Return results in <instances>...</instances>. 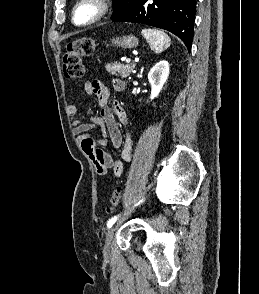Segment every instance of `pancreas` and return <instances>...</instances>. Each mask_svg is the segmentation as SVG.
Masks as SVG:
<instances>
[{
	"instance_id": "cf45deb5",
	"label": "pancreas",
	"mask_w": 259,
	"mask_h": 294,
	"mask_svg": "<svg viewBox=\"0 0 259 294\" xmlns=\"http://www.w3.org/2000/svg\"><path fill=\"white\" fill-rule=\"evenodd\" d=\"M135 64L124 65L118 62L108 63L106 65L107 72L115 76H121V78L128 77L134 70Z\"/></svg>"
}]
</instances>
